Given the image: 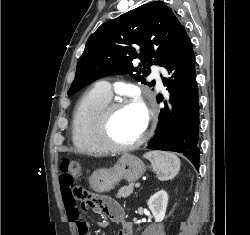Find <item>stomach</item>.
Wrapping results in <instances>:
<instances>
[{
	"instance_id": "1",
	"label": "stomach",
	"mask_w": 250,
	"mask_h": 235,
	"mask_svg": "<svg viewBox=\"0 0 250 235\" xmlns=\"http://www.w3.org/2000/svg\"><path fill=\"white\" fill-rule=\"evenodd\" d=\"M146 171L140 158L132 154H123L117 163L109 169H99L90 178V186L97 193H106L114 189L121 181H137Z\"/></svg>"
}]
</instances>
